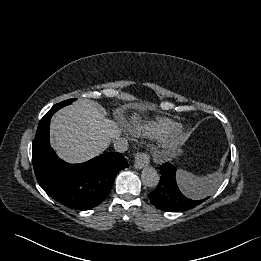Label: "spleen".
I'll list each match as a JSON object with an SVG mask.
<instances>
[{
    "instance_id": "3e777b00",
    "label": "spleen",
    "mask_w": 261,
    "mask_h": 261,
    "mask_svg": "<svg viewBox=\"0 0 261 261\" xmlns=\"http://www.w3.org/2000/svg\"><path fill=\"white\" fill-rule=\"evenodd\" d=\"M179 172L181 175H184L186 177H192V174L190 172L184 170H180ZM217 186H218V180L215 177L213 176L206 177L203 180L198 181V183L196 184V187L204 188L206 189V192L203 195H191V198L201 199L202 197L211 194Z\"/></svg>"
}]
</instances>
